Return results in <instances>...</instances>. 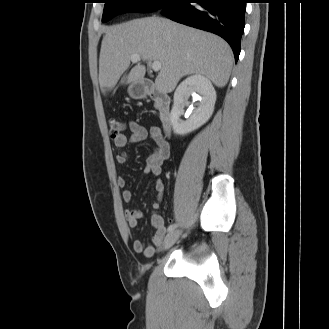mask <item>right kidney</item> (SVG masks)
<instances>
[{"mask_svg": "<svg viewBox=\"0 0 329 329\" xmlns=\"http://www.w3.org/2000/svg\"><path fill=\"white\" fill-rule=\"evenodd\" d=\"M196 93L199 95L197 108L187 121L181 122L179 117L183 112V105ZM215 101V89L206 77L192 75L182 81L174 93V104L170 113L174 133L185 135L205 124L214 111Z\"/></svg>", "mask_w": 329, "mask_h": 329, "instance_id": "1", "label": "right kidney"}]
</instances>
